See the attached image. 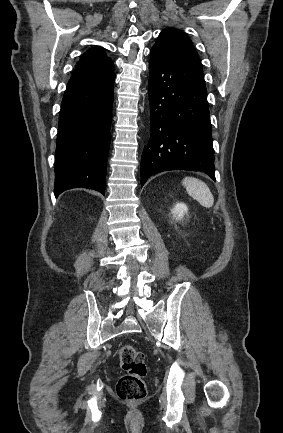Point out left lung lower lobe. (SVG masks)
<instances>
[{
    "label": "left lung lower lobe",
    "instance_id": "obj_1",
    "mask_svg": "<svg viewBox=\"0 0 283 433\" xmlns=\"http://www.w3.org/2000/svg\"><path fill=\"white\" fill-rule=\"evenodd\" d=\"M151 137L141 158V187L168 170L207 173L215 181L212 127L201 63L152 48L149 63Z\"/></svg>",
    "mask_w": 283,
    "mask_h": 433
}]
</instances>
